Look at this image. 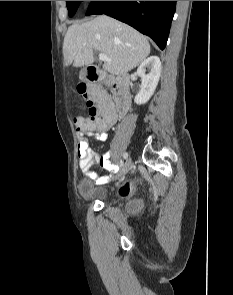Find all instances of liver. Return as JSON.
Instances as JSON below:
<instances>
[{
  "mask_svg": "<svg viewBox=\"0 0 233 295\" xmlns=\"http://www.w3.org/2000/svg\"><path fill=\"white\" fill-rule=\"evenodd\" d=\"M94 51L107 55L103 69L112 75L127 73L142 63L150 54L145 36L131 26L109 16L100 15L83 24L71 25L64 38L65 66H90Z\"/></svg>",
  "mask_w": 233,
  "mask_h": 295,
  "instance_id": "1",
  "label": "liver"
}]
</instances>
